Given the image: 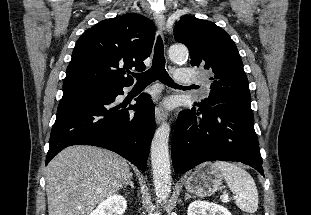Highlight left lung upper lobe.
Returning <instances> with one entry per match:
<instances>
[{
    "label": "left lung upper lobe",
    "mask_w": 311,
    "mask_h": 215,
    "mask_svg": "<svg viewBox=\"0 0 311 215\" xmlns=\"http://www.w3.org/2000/svg\"><path fill=\"white\" fill-rule=\"evenodd\" d=\"M175 40L190 52L191 66L211 74V91L198 105L237 104L250 107L247 76L237 47L229 34L213 22L191 16L174 28Z\"/></svg>",
    "instance_id": "5c2ea615"
}]
</instances>
